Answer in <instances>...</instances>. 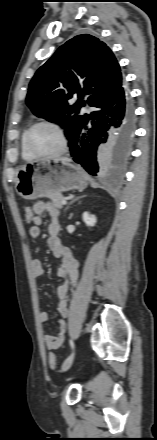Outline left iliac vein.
Here are the masks:
<instances>
[{"mask_svg":"<svg viewBox=\"0 0 157 440\" xmlns=\"http://www.w3.org/2000/svg\"><path fill=\"white\" fill-rule=\"evenodd\" d=\"M73 360H74V353H72L65 361H64V363H63V365H62V371H67L70 367H71V365H72V363H73Z\"/></svg>","mask_w":157,"mask_h":440,"instance_id":"1","label":"left iliac vein"}]
</instances>
